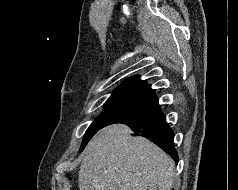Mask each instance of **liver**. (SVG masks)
I'll list each match as a JSON object with an SVG mask.
<instances>
[{"instance_id":"1","label":"liver","mask_w":238,"mask_h":190,"mask_svg":"<svg viewBox=\"0 0 238 190\" xmlns=\"http://www.w3.org/2000/svg\"><path fill=\"white\" fill-rule=\"evenodd\" d=\"M124 124L101 129L87 145L79 171L80 190H171L175 163Z\"/></svg>"}]
</instances>
